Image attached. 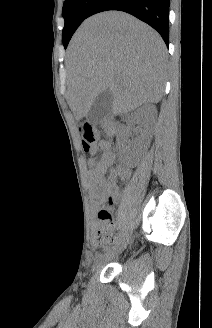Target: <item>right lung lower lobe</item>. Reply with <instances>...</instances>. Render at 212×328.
Here are the masks:
<instances>
[{
	"label": "right lung lower lobe",
	"instance_id": "obj_1",
	"mask_svg": "<svg viewBox=\"0 0 212 328\" xmlns=\"http://www.w3.org/2000/svg\"><path fill=\"white\" fill-rule=\"evenodd\" d=\"M169 4L170 0H97L88 17L108 10L127 12L157 30L168 46Z\"/></svg>",
	"mask_w": 212,
	"mask_h": 328
}]
</instances>
